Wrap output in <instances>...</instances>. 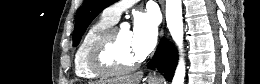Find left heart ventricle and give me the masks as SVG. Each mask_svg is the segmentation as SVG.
<instances>
[{
  "mask_svg": "<svg viewBox=\"0 0 260 84\" xmlns=\"http://www.w3.org/2000/svg\"><path fill=\"white\" fill-rule=\"evenodd\" d=\"M115 57L122 64H130L139 59L133 48L130 31L122 29L118 31L115 42Z\"/></svg>",
  "mask_w": 260,
  "mask_h": 84,
  "instance_id": "obj_1",
  "label": "left heart ventricle"
}]
</instances>
